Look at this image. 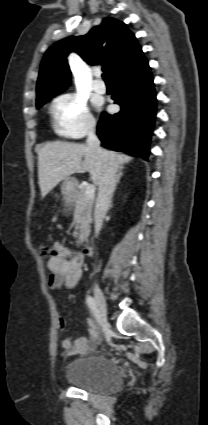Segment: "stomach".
<instances>
[{"mask_svg":"<svg viewBox=\"0 0 208 425\" xmlns=\"http://www.w3.org/2000/svg\"><path fill=\"white\" fill-rule=\"evenodd\" d=\"M78 181L74 177L64 179L61 190L65 201H72L77 193Z\"/></svg>","mask_w":208,"mask_h":425,"instance_id":"1","label":"stomach"}]
</instances>
